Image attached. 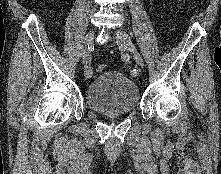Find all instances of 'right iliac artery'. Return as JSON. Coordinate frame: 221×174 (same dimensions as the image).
Wrapping results in <instances>:
<instances>
[{
	"label": "right iliac artery",
	"mask_w": 221,
	"mask_h": 174,
	"mask_svg": "<svg viewBox=\"0 0 221 174\" xmlns=\"http://www.w3.org/2000/svg\"><path fill=\"white\" fill-rule=\"evenodd\" d=\"M84 63V75L86 79H90L93 75V68L91 67V56L90 54L83 61Z\"/></svg>",
	"instance_id": "1"
}]
</instances>
